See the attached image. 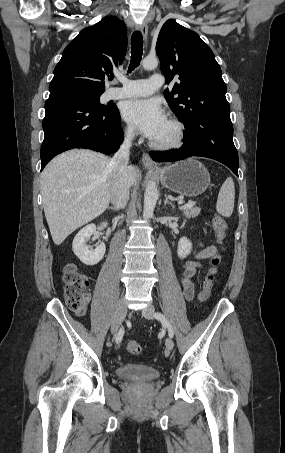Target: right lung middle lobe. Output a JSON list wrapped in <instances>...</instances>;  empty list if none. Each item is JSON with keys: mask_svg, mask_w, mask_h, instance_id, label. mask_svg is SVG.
Listing matches in <instances>:
<instances>
[{"mask_svg": "<svg viewBox=\"0 0 285 453\" xmlns=\"http://www.w3.org/2000/svg\"><path fill=\"white\" fill-rule=\"evenodd\" d=\"M75 92L82 100L87 104L93 107L97 111H108L113 108V106L101 105L99 102V97L101 93L87 92V91H73Z\"/></svg>", "mask_w": 285, "mask_h": 453, "instance_id": "right-lung-middle-lobe-1", "label": "right lung middle lobe"}]
</instances>
